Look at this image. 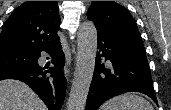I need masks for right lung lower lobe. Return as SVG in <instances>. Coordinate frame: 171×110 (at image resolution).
I'll list each match as a JSON object with an SVG mask.
<instances>
[{"mask_svg": "<svg viewBox=\"0 0 171 110\" xmlns=\"http://www.w3.org/2000/svg\"><path fill=\"white\" fill-rule=\"evenodd\" d=\"M52 56L51 65L38 64L40 52ZM37 60L30 66L0 71V80L16 79L28 84L44 101L49 110H60L66 94V79L63 74L65 56L59 40L38 52Z\"/></svg>", "mask_w": 171, "mask_h": 110, "instance_id": "right-lung-lower-lobe-1", "label": "right lung lower lobe"}]
</instances>
